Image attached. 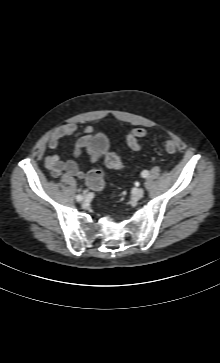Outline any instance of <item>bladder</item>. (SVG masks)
<instances>
[{"label":"bladder","mask_w":220,"mask_h":363,"mask_svg":"<svg viewBox=\"0 0 220 363\" xmlns=\"http://www.w3.org/2000/svg\"><path fill=\"white\" fill-rule=\"evenodd\" d=\"M87 144L91 152L98 154H103L108 148V140L102 133L92 136Z\"/></svg>","instance_id":"1"}]
</instances>
